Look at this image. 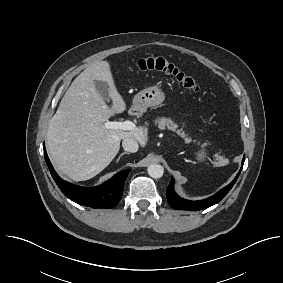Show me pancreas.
Wrapping results in <instances>:
<instances>
[{
  "label": "pancreas",
  "instance_id": "obj_1",
  "mask_svg": "<svg viewBox=\"0 0 283 283\" xmlns=\"http://www.w3.org/2000/svg\"><path fill=\"white\" fill-rule=\"evenodd\" d=\"M155 123H158V128L161 130H164L165 128L176 131L178 135H180L182 138L185 139L186 143H189L192 141L191 138L187 137V134H185L182 130H177V124L173 122L170 118H158L156 119Z\"/></svg>",
  "mask_w": 283,
  "mask_h": 283
}]
</instances>
